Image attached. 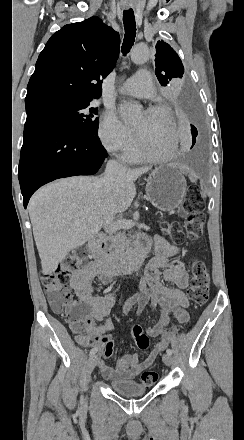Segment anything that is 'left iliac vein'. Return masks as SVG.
Returning a JSON list of instances; mask_svg holds the SVG:
<instances>
[{"label":"left iliac vein","instance_id":"1","mask_svg":"<svg viewBox=\"0 0 244 440\" xmlns=\"http://www.w3.org/2000/svg\"><path fill=\"white\" fill-rule=\"evenodd\" d=\"M162 360H163V362H164L166 365H168V366H171L172 363H173V358H172V356H171L170 354H168V353H166V354H164V355L162 356Z\"/></svg>","mask_w":244,"mask_h":440}]
</instances>
